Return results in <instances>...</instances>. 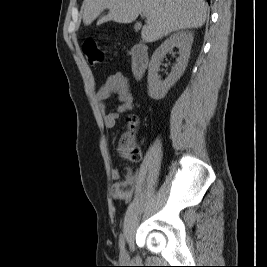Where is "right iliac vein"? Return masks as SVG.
Here are the masks:
<instances>
[{
	"instance_id": "right-iliac-vein-1",
	"label": "right iliac vein",
	"mask_w": 267,
	"mask_h": 267,
	"mask_svg": "<svg viewBox=\"0 0 267 267\" xmlns=\"http://www.w3.org/2000/svg\"><path fill=\"white\" fill-rule=\"evenodd\" d=\"M128 258V254H127V251L125 249L121 250V253H120V259L122 262H125Z\"/></svg>"
}]
</instances>
